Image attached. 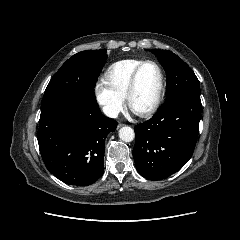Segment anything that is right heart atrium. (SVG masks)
Wrapping results in <instances>:
<instances>
[{
  "label": "right heart atrium",
  "mask_w": 240,
  "mask_h": 240,
  "mask_svg": "<svg viewBox=\"0 0 240 240\" xmlns=\"http://www.w3.org/2000/svg\"><path fill=\"white\" fill-rule=\"evenodd\" d=\"M94 95L104 114L110 118L117 117L124 107V98L110 89L104 81L96 83Z\"/></svg>",
  "instance_id": "1"
}]
</instances>
